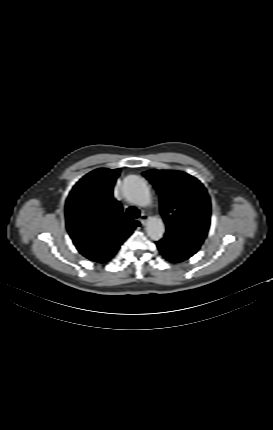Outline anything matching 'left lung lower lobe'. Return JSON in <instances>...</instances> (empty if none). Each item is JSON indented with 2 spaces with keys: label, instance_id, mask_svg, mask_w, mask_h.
I'll return each instance as SVG.
<instances>
[{
  "label": "left lung lower lobe",
  "instance_id": "0a47b994",
  "mask_svg": "<svg viewBox=\"0 0 273 430\" xmlns=\"http://www.w3.org/2000/svg\"><path fill=\"white\" fill-rule=\"evenodd\" d=\"M160 252L162 251V246L160 244H158L156 242ZM167 260H169L170 262H174V263H178V262H182L184 260L187 259V255L185 254H180V255H166V254H162Z\"/></svg>",
  "mask_w": 273,
  "mask_h": 430
}]
</instances>
